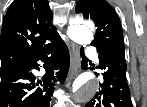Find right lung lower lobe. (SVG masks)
<instances>
[{
	"label": "right lung lower lobe",
	"instance_id": "obj_1",
	"mask_svg": "<svg viewBox=\"0 0 147 107\" xmlns=\"http://www.w3.org/2000/svg\"><path fill=\"white\" fill-rule=\"evenodd\" d=\"M69 63V51L60 36L39 47L25 61L0 73V107H49L54 82L65 81ZM32 69L44 72L41 80L35 81Z\"/></svg>",
	"mask_w": 147,
	"mask_h": 107
}]
</instances>
